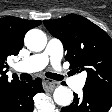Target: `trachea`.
Segmentation results:
<instances>
[{
	"mask_svg": "<svg viewBox=\"0 0 112 112\" xmlns=\"http://www.w3.org/2000/svg\"><path fill=\"white\" fill-rule=\"evenodd\" d=\"M45 75L48 78H51V79H54V80H58V81H60V80L63 79V76H61L59 74L50 73V72L45 73ZM20 79L23 80V81H28V80H31L32 79V76L30 74H27V73H22L20 75Z\"/></svg>",
	"mask_w": 112,
	"mask_h": 112,
	"instance_id": "trachea-1",
	"label": "trachea"
}]
</instances>
